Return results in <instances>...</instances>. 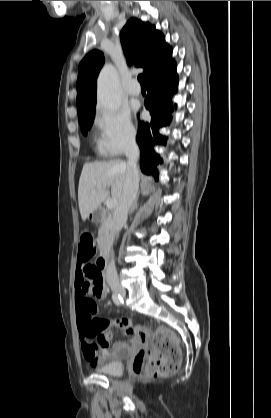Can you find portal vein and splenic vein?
Masks as SVG:
<instances>
[{"label": "portal vein and splenic vein", "mask_w": 271, "mask_h": 418, "mask_svg": "<svg viewBox=\"0 0 271 418\" xmlns=\"http://www.w3.org/2000/svg\"><path fill=\"white\" fill-rule=\"evenodd\" d=\"M116 205H117V200H115V199L109 200L106 204L108 209H113V208L116 207Z\"/></svg>", "instance_id": "18ae733b"}]
</instances>
